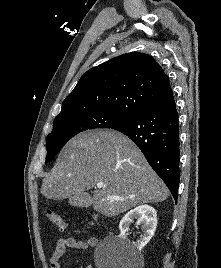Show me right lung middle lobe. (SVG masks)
<instances>
[{"label": "right lung middle lobe", "mask_w": 221, "mask_h": 268, "mask_svg": "<svg viewBox=\"0 0 221 268\" xmlns=\"http://www.w3.org/2000/svg\"><path fill=\"white\" fill-rule=\"evenodd\" d=\"M129 120L125 115L106 109L59 114L54 120L52 132L47 136L46 163L78 133L95 128H113Z\"/></svg>", "instance_id": "dd1d6c3e"}]
</instances>
